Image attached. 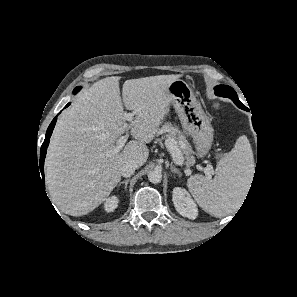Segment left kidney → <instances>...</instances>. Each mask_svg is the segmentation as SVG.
I'll list each match as a JSON object with an SVG mask.
<instances>
[{"instance_id": "obj_1", "label": "left kidney", "mask_w": 297, "mask_h": 297, "mask_svg": "<svg viewBox=\"0 0 297 297\" xmlns=\"http://www.w3.org/2000/svg\"><path fill=\"white\" fill-rule=\"evenodd\" d=\"M172 200L177 212L183 217L195 219L198 216V209L189 193L180 187L173 189Z\"/></svg>"}]
</instances>
